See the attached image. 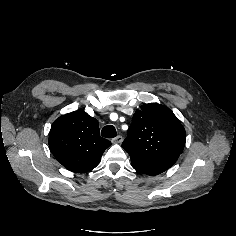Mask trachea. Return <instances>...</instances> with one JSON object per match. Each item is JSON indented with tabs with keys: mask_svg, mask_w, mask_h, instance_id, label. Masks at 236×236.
Masks as SVG:
<instances>
[{
	"mask_svg": "<svg viewBox=\"0 0 236 236\" xmlns=\"http://www.w3.org/2000/svg\"><path fill=\"white\" fill-rule=\"evenodd\" d=\"M101 135L105 138H114L116 137L117 132L113 125H107L102 129Z\"/></svg>",
	"mask_w": 236,
	"mask_h": 236,
	"instance_id": "3493384b",
	"label": "trachea"
}]
</instances>
